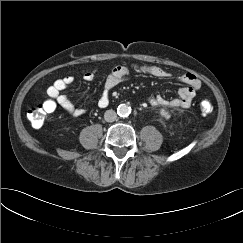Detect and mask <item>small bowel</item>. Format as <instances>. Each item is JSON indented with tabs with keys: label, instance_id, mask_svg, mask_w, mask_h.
<instances>
[{
	"label": "small bowel",
	"instance_id": "small-bowel-1",
	"mask_svg": "<svg viewBox=\"0 0 243 243\" xmlns=\"http://www.w3.org/2000/svg\"><path fill=\"white\" fill-rule=\"evenodd\" d=\"M131 71L143 74H149L157 78H168L171 74L165 69L154 65H118L115 66L107 75L104 83V90L97 105L100 108H105L110 102V92L114 89ZM98 70L94 69L83 73V79L91 82L95 79ZM74 76L67 75L54 81L48 87L47 95L49 98L62 107L68 114L78 117L86 112L84 106H78L75 101L67 95L62 94V91L72 85ZM181 82L186 86L179 90L178 96L173 99H166L158 93L151 94L148 98L152 106L171 107V108H188L191 106L197 92L201 88L200 80L192 73H185L180 77ZM87 102L86 104H88Z\"/></svg>",
	"mask_w": 243,
	"mask_h": 243
}]
</instances>
